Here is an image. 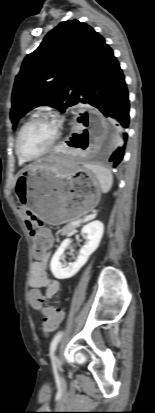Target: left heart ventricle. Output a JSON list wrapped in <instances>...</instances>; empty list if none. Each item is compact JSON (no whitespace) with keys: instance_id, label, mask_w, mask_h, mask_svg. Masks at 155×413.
I'll use <instances>...</instances> for the list:
<instances>
[{"instance_id":"left-heart-ventricle-1","label":"left heart ventricle","mask_w":155,"mask_h":413,"mask_svg":"<svg viewBox=\"0 0 155 413\" xmlns=\"http://www.w3.org/2000/svg\"><path fill=\"white\" fill-rule=\"evenodd\" d=\"M55 135V124L51 121L38 120L26 127L21 139L22 150L29 155L44 150Z\"/></svg>"}]
</instances>
